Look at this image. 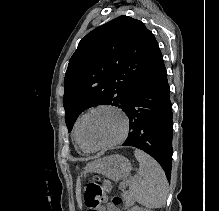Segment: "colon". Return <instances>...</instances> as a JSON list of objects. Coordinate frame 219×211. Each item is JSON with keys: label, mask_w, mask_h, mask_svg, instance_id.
<instances>
[{"label": "colon", "mask_w": 219, "mask_h": 211, "mask_svg": "<svg viewBox=\"0 0 219 211\" xmlns=\"http://www.w3.org/2000/svg\"><path fill=\"white\" fill-rule=\"evenodd\" d=\"M93 181L98 183V182L100 181V178L95 175V176L93 177ZM105 187H106V188L108 187V183H105ZM112 202H113V205H115V206L124 205L122 198L119 197V196L113 197Z\"/></svg>", "instance_id": "obj_1"}]
</instances>
